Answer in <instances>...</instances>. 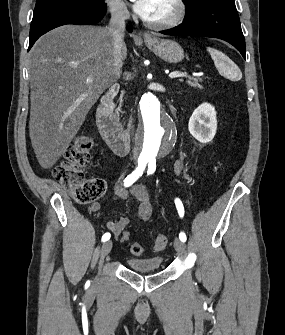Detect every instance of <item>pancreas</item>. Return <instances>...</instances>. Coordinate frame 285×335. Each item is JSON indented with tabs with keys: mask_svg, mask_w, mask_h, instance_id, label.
<instances>
[{
	"mask_svg": "<svg viewBox=\"0 0 285 335\" xmlns=\"http://www.w3.org/2000/svg\"><path fill=\"white\" fill-rule=\"evenodd\" d=\"M180 82H183V80H180ZM186 84H189V86H193V88H202V86H200V84H198V82H191V80H188V82H186ZM122 104V102H121ZM121 104L119 106V108H117L116 110V116H118L119 112H121Z\"/></svg>",
	"mask_w": 285,
	"mask_h": 335,
	"instance_id": "1",
	"label": "pancreas"
}]
</instances>
